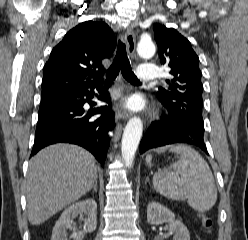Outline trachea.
<instances>
[{"mask_svg":"<svg viewBox=\"0 0 248 240\" xmlns=\"http://www.w3.org/2000/svg\"><path fill=\"white\" fill-rule=\"evenodd\" d=\"M121 71L123 77L131 83L139 84L140 81L137 79L135 74L132 71L129 59L126 53V46L122 41L118 42V49L114 62L107 70L105 84H111L119 72Z\"/></svg>","mask_w":248,"mask_h":240,"instance_id":"3493384b","label":"trachea"}]
</instances>
